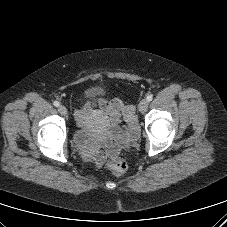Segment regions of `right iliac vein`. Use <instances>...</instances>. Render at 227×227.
Segmentation results:
<instances>
[{
    "label": "right iliac vein",
    "instance_id": "63e3f726",
    "mask_svg": "<svg viewBox=\"0 0 227 227\" xmlns=\"http://www.w3.org/2000/svg\"><path fill=\"white\" fill-rule=\"evenodd\" d=\"M58 111H59V113H60L61 115H66V114H67V109H66V107L63 106V105H60V106L58 107Z\"/></svg>",
    "mask_w": 227,
    "mask_h": 227
}]
</instances>
